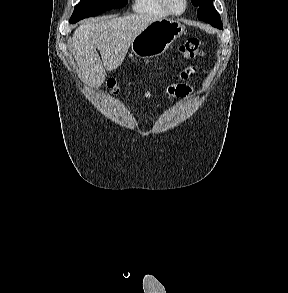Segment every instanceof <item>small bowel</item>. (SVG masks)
<instances>
[{
	"instance_id": "c3829d8e",
	"label": "small bowel",
	"mask_w": 288,
	"mask_h": 293,
	"mask_svg": "<svg viewBox=\"0 0 288 293\" xmlns=\"http://www.w3.org/2000/svg\"><path fill=\"white\" fill-rule=\"evenodd\" d=\"M188 74H189L188 72H183L182 78L184 79L187 78ZM189 90H190L189 87H187L185 84H178L168 88V92L177 97H186L189 93ZM146 96L150 97V94H147Z\"/></svg>"
}]
</instances>
